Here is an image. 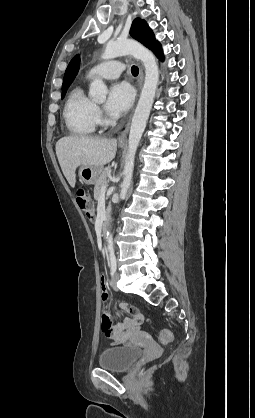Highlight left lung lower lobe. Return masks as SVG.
<instances>
[{
	"label": "left lung lower lobe",
	"instance_id": "left-lung-lower-lobe-1",
	"mask_svg": "<svg viewBox=\"0 0 255 418\" xmlns=\"http://www.w3.org/2000/svg\"><path fill=\"white\" fill-rule=\"evenodd\" d=\"M153 52L155 53V55L160 59V60H164V56H163V51L161 48V45L157 46Z\"/></svg>",
	"mask_w": 255,
	"mask_h": 418
}]
</instances>
